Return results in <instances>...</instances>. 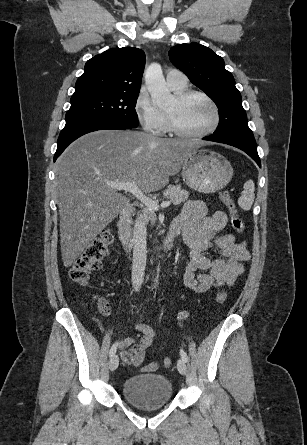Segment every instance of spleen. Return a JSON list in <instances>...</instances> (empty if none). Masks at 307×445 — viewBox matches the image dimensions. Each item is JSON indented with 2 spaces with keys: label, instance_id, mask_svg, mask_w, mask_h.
I'll use <instances>...</instances> for the list:
<instances>
[{
  "label": "spleen",
  "instance_id": "spleen-1",
  "mask_svg": "<svg viewBox=\"0 0 307 445\" xmlns=\"http://www.w3.org/2000/svg\"><path fill=\"white\" fill-rule=\"evenodd\" d=\"M243 188L244 190H242L241 196L238 198V204L243 210H250L255 198V184L253 180H247Z\"/></svg>",
  "mask_w": 307,
  "mask_h": 445
}]
</instances>
